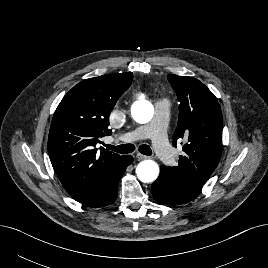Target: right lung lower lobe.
<instances>
[{"label": "right lung lower lobe", "instance_id": "98d812e1", "mask_svg": "<svg viewBox=\"0 0 268 268\" xmlns=\"http://www.w3.org/2000/svg\"><path fill=\"white\" fill-rule=\"evenodd\" d=\"M132 161V156H123L121 160L109 172L97 195L84 205L99 208L113 203L117 198L118 183L127 166L130 165Z\"/></svg>", "mask_w": 268, "mask_h": 268}]
</instances>
